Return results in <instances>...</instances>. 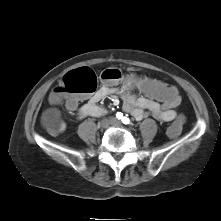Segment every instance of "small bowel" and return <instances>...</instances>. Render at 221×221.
Listing matches in <instances>:
<instances>
[{
	"label": "small bowel",
	"mask_w": 221,
	"mask_h": 221,
	"mask_svg": "<svg viewBox=\"0 0 221 221\" xmlns=\"http://www.w3.org/2000/svg\"><path fill=\"white\" fill-rule=\"evenodd\" d=\"M112 94H118L124 101V110L130 113L135 119L141 120L145 117L152 116L162 122H171L173 117L177 116L175 107H166L164 104L153 101L147 96H137L130 87H114L108 84L99 87L81 106H78V98L67 103V108L76 112L79 119L88 116L99 117L105 113V109L100 107L98 103Z\"/></svg>",
	"instance_id": "obj_1"
}]
</instances>
